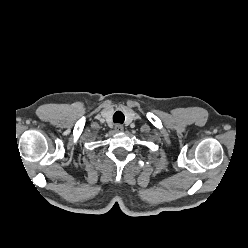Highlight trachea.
<instances>
[{
	"mask_svg": "<svg viewBox=\"0 0 248 248\" xmlns=\"http://www.w3.org/2000/svg\"><path fill=\"white\" fill-rule=\"evenodd\" d=\"M125 120V116L121 111H116L113 115V122L114 123H123Z\"/></svg>",
	"mask_w": 248,
	"mask_h": 248,
	"instance_id": "1",
	"label": "trachea"
}]
</instances>
